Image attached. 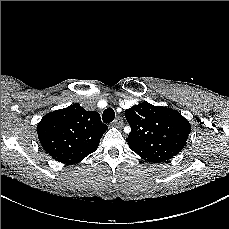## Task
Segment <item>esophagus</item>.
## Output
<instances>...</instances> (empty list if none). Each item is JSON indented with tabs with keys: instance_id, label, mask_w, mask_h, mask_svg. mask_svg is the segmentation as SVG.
I'll return each instance as SVG.
<instances>
[{
	"instance_id": "obj_1",
	"label": "esophagus",
	"mask_w": 229,
	"mask_h": 229,
	"mask_svg": "<svg viewBox=\"0 0 229 229\" xmlns=\"http://www.w3.org/2000/svg\"><path fill=\"white\" fill-rule=\"evenodd\" d=\"M114 126L120 128L123 126V120L121 117H117L114 122H113Z\"/></svg>"
}]
</instances>
